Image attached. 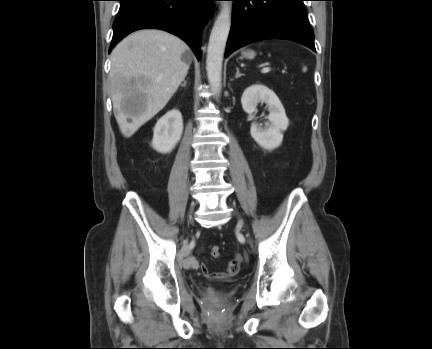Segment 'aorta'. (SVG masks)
<instances>
[{
  "label": "aorta",
  "instance_id": "762f6f07",
  "mask_svg": "<svg viewBox=\"0 0 432 349\" xmlns=\"http://www.w3.org/2000/svg\"><path fill=\"white\" fill-rule=\"evenodd\" d=\"M231 27V4L223 2L214 22L207 49L206 70L209 85L214 94H219L222 81V63Z\"/></svg>",
  "mask_w": 432,
  "mask_h": 349
}]
</instances>
